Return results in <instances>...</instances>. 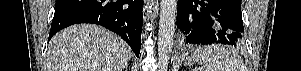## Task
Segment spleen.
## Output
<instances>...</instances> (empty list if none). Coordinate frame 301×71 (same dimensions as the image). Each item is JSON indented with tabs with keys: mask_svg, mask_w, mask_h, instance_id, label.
Here are the masks:
<instances>
[{
	"mask_svg": "<svg viewBox=\"0 0 301 71\" xmlns=\"http://www.w3.org/2000/svg\"><path fill=\"white\" fill-rule=\"evenodd\" d=\"M192 57L203 64L204 71H246L243 59L234 50L222 45L196 48Z\"/></svg>",
	"mask_w": 301,
	"mask_h": 71,
	"instance_id": "spleen-1",
	"label": "spleen"
}]
</instances>
